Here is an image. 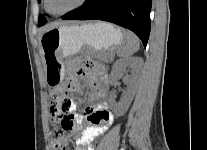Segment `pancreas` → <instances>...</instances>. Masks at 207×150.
<instances>
[{
    "label": "pancreas",
    "mask_w": 207,
    "mask_h": 150,
    "mask_svg": "<svg viewBox=\"0 0 207 150\" xmlns=\"http://www.w3.org/2000/svg\"><path fill=\"white\" fill-rule=\"evenodd\" d=\"M98 58L103 60V61H112L113 58H114V54L112 52L111 53H105V54L100 55Z\"/></svg>",
    "instance_id": "pancreas-1"
}]
</instances>
